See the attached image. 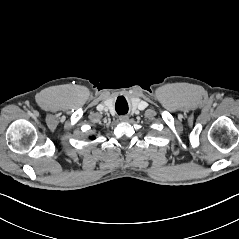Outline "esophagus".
Segmentation results:
<instances>
[{
    "instance_id": "34e87169",
    "label": "esophagus",
    "mask_w": 239,
    "mask_h": 239,
    "mask_svg": "<svg viewBox=\"0 0 239 239\" xmlns=\"http://www.w3.org/2000/svg\"><path fill=\"white\" fill-rule=\"evenodd\" d=\"M128 119H129V117L126 116V115H122V116L119 117V120L122 121V122H126V121H128Z\"/></svg>"
}]
</instances>
